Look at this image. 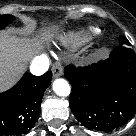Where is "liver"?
<instances>
[{"label": "liver", "mask_w": 136, "mask_h": 136, "mask_svg": "<svg viewBox=\"0 0 136 136\" xmlns=\"http://www.w3.org/2000/svg\"><path fill=\"white\" fill-rule=\"evenodd\" d=\"M51 36V29L44 30L32 39L18 37L13 29L0 32V92L11 87L19 79L27 61Z\"/></svg>", "instance_id": "liver-1"}]
</instances>
